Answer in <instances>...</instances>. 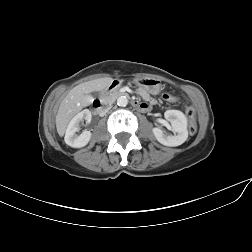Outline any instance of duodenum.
I'll use <instances>...</instances> for the list:
<instances>
[{
	"instance_id": "obj_1",
	"label": "duodenum",
	"mask_w": 252,
	"mask_h": 252,
	"mask_svg": "<svg viewBox=\"0 0 252 252\" xmlns=\"http://www.w3.org/2000/svg\"><path fill=\"white\" fill-rule=\"evenodd\" d=\"M117 86H118V82H117V81L111 82V83L108 85V87H107V89H106V92H107V93H111L112 91H114V90L117 88ZM133 105H134L136 108H138V109H142V108H143V107H142V103L139 102V101H133ZM92 107H93V110H94L96 113H102V112L104 111V107H103L102 103H101L100 101H98V100L93 102Z\"/></svg>"
}]
</instances>
